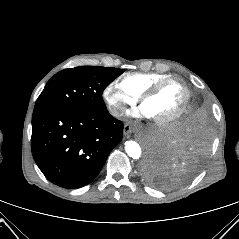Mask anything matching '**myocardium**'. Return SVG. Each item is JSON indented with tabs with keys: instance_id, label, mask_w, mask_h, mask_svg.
I'll use <instances>...</instances> for the list:
<instances>
[{
	"instance_id": "f54148a6",
	"label": "myocardium",
	"mask_w": 239,
	"mask_h": 239,
	"mask_svg": "<svg viewBox=\"0 0 239 239\" xmlns=\"http://www.w3.org/2000/svg\"><path fill=\"white\" fill-rule=\"evenodd\" d=\"M173 82L180 83L183 86V88L185 90V100H184L181 108L174 114H172L168 117H164V118H152V121L155 124H158V125L167 124V123H170V122H173V121L179 119L180 117H182L185 114V112L187 111V109L189 107L190 101H191V90H190L189 86L183 80H181L177 77H168V78L162 79V80L158 81L157 83L153 84L152 86H150L140 96V102H141V104H143L147 99L156 95L167 84H170Z\"/></svg>"
}]
</instances>
